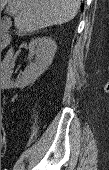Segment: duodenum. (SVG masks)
Instances as JSON below:
<instances>
[{
    "label": "duodenum",
    "mask_w": 109,
    "mask_h": 170,
    "mask_svg": "<svg viewBox=\"0 0 109 170\" xmlns=\"http://www.w3.org/2000/svg\"><path fill=\"white\" fill-rule=\"evenodd\" d=\"M10 44V36L8 34L3 35V41L1 44V48H4Z\"/></svg>",
    "instance_id": "410a0bca"
}]
</instances>
